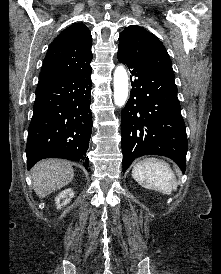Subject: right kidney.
Returning <instances> with one entry per match:
<instances>
[{
    "label": "right kidney",
    "mask_w": 221,
    "mask_h": 274,
    "mask_svg": "<svg viewBox=\"0 0 221 274\" xmlns=\"http://www.w3.org/2000/svg\"><path fill=\"white\" fill-rule=\"evenodd\" d=\"M74 196V191L72 189H66L62 191L56 198H55V204L58 209H60L62 206L67 205L71 198ZM62 200V203H61Z\"/></svg>",
    "instance_id": "1"
}]
</instances>
